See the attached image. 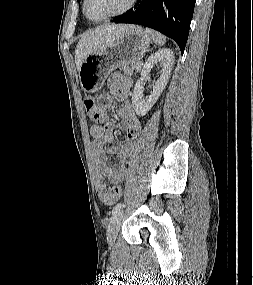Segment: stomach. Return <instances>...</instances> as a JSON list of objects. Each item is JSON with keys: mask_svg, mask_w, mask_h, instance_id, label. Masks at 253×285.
Masks as SVG:
<instances>
[{"mask_svg": "<svg viewBox=\"0 0 253 285\" xmlns=\"http://www.w3.org/2000/svg\"><path fill=\"white\" fill-rule=\"evenodd\" d=\"M152 42L141 27L134 26L103 48L87 56L79 69V82L86 93L100 90L115 69L140 61Z\"/></svg>", "mask_w": 253, "mask_h": 285, "instance_id": "stomach-1", "label": "stomach"}]
</instances>
